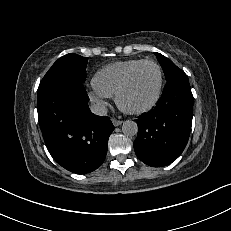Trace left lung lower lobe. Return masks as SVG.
I'll list each match as a JSON object with an SVG mask.
<instances>
[{"instance_id": "0a47b994", "label": "left lung lower lobe", "mask_w": 231, "mask_h": 231, "mask_svg": "<svg viewBox=\"0 0 231 231\" xmlns=\"http://www.w3.org/2000/svg\"><path fill=\"white\" fill-rule=\"evenodd\" d=\"M192 113L193 95L188 77L181 71L167 79L154 110L138 117L137 157L152 167L172 163L188 142Z\"/></svg>"}]
</instances>
